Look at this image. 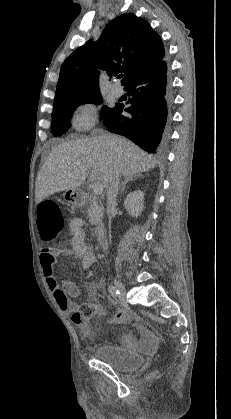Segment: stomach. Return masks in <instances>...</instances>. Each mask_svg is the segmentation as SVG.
<instances>
[{"mask_svg":"<svg viewBox=\"0 0 231 419\" xmlns=\"http://www.w3.org/2000/svg\"><path fill=\"white\" fill-rule=\"evenodd\" d=\"M64 199L72 205H80L81 197L77 189L68 190L64 193Z\"/></svg>","mask_w":231,"mask_h":419,"instance_id":"stomach-1","label":"stomach"}]
</instances>
